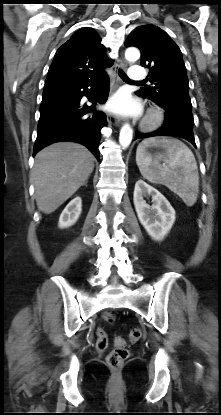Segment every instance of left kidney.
<instances>
[{"instance_id": "5707ae66", "label": "left kidney", "mask_w": 221, "mask_h": 415, "mask_svg": "<svg viewBox=\"0 0 221 415\" xmlns=\"http://www.w3.org/2000/svg\"><path fill=\"white\" fill-rule=\"evenodd\" d=\"M152 196V206L143 197ZM134 206L138 219L153 240L161 241L175 222V210L168 200L143 180H138L134 189Z\"/></svg>"}]
</instances>
